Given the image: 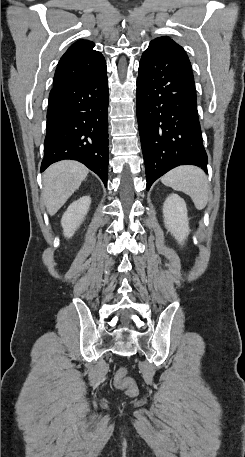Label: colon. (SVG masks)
<instances>
[{"label":"colon","instance_id":"5ec220e1","mask_svg":"<svg viewBox=\"0 0 245 457\" xmlns=\"http://www.w3.org/2000/svg\"><path fill=\"white\" fill-rule=\"evenodd\" d=\"M114 382L118 388L126 390L129 394H135L137 391L136 384L128 377L127 369L125 367H121L117 370Z\"/></svg>","mask_w":245,"mask_h":457}]
</instances>
